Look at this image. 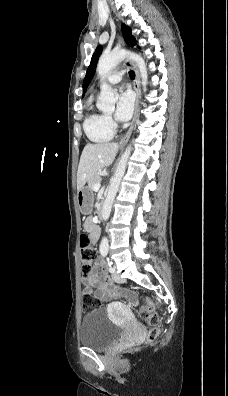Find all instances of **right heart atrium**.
<instances>
[{
    "mask_svg": "<svg viewBox=\"0 0 228 396\" xmlns=\"http://www.w3.org/2000/svg\"><path fill=\"white\" fill-rule=\"evenodd\" d=\"M107 122L112 127L114 125L113 120L110 116H107Z\"/></svg>",
    "mask_w": 228,
    "mask_h": 396,
    "instance_id": "d8ad5b80",
    "label": "right heart atrium"
}]
</instances>
